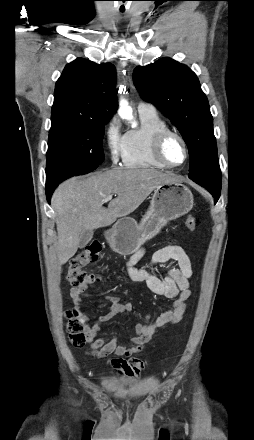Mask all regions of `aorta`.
<instances>
[{"instance_id":"obj_1","label":"aorta","mask_w":254,"mask_h":440,"mask_svg":"<svg viewBox=\"0 0 254 440\" xmlns=\"http://www.w3.org/2000/svg\"><path fill=\"white\" fill-rule=\"evenodd\" d=\"M118 113H119V115L122 118H125V119H128V120L132 119V109L128 105V102L126 100H121L120 101V106H119Z\"/></svg>"}]
</instances>
